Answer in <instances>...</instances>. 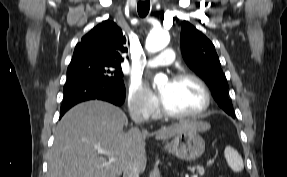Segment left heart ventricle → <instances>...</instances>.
<instances>
[{"label":"left heart ventricle","instance_id":"b2bd125f","mask_svg":"<svg viewBox=\"0 0 287 177\" xmlns=\"http://www.w3.org/2000/svg\"><path fill=\"white\" fill-rule=\"evenodd\" d=\"M161 94L165 106L176 113H194L204 102L200 87L190 80L166 82Z\"/></svg>","mask_w":287,"mask_h":177}]
</instances>
